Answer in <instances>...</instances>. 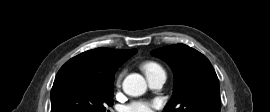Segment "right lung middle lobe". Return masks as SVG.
<instances>
[{
    "label": "right lung middle lobe",
    "instance_id": "obj_1",
    "mask_svg": "<svg viewBox=\"0 0 270 112\" xmlns=\"http://www.w3.org/2000/svg\"><path fill=\"white\" fill-rule=\"evenodd\" d=\"M113 82L76 72L58 73L51 90V112H105L113 105Z\"/></svg>",
    "mask_w": 270,
    "mask_h": 112
}]
</instances>
